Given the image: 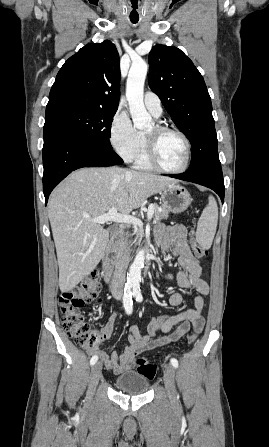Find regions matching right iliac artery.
<instances>
[{
    "mask_svg": "<svg viewBox=\"0 0 269 447\" xmlns=\"http://www.w3.org/2000/svg\"><path fill=\"white\" fill-rule=\"evenodd\" d=\"M132 287L133 284H126L124 288L123 305L127 314L132 313V305H133L132 292H131ZM97 360L98 356L94 355L90 360V364L94 365L97 362Z\"/></svg>",
    "mask_w": 269,
    "mask_h": 447,
    "instance_id": "1",
    "label": "right iliac artery"
}]
</instances>
